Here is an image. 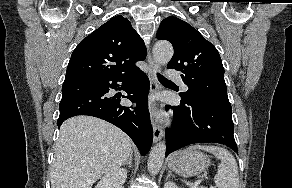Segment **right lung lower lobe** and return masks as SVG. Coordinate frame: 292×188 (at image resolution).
Listing matches in <instances>:
<instances>
[{"label":"right lung lower lobe","instance_id":"98d812e1","mask_svg":"<svg viewBox=\"0 0 292 188\" xmlns=\"http://www.w3.org/2000/svg\"><path fill=\"white\" fill-rule=\"evenodd\" d=\"M136 102V107H124L120 96H110L109 90L120 89ZM150 88L148 77L140 69L125 76H98L92 78H67L62 86L59 104L58 127L63 121L76 115H89L106 120L123 130L136 144L141 155L149 152L153 131L147 110V96Z\"/></svg>","mask_w":292,"mask_h":188}]
</instances>
